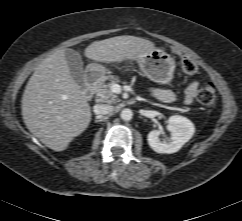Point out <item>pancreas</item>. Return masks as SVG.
I'll use <instances>...</instances> for the list:
<instances>
[{
    "label": "pancreas",
    "mask_w": 242,
    "mask_h": 221,
    "mask_svg": "<svg viewBox=\"0 0 242 221\" xmlns=\"http://www.w3.org/2000/svg\"><path fill=\"white\" fill-rule=\"evenodd\" d=\"M119 82L118 77L114 75L102 77L93 89L96 95V101L109 104L119 102L118 96L112 90L113 85Z\"/></svg>",
    "instance_id": "cf45deb5"
}]
</instances>
